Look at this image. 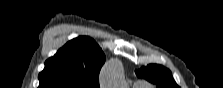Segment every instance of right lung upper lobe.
I'll list each match as a JSON object with an SVG mask.
<instances>
[{
    "label": "right lung upper lobe",
    "instance_id": "1",
    "mask_svg": "<svg viewBox=\"0 0 223 88\" xmlns=\"http://www.w3.org/2000/svg\"><path fill=\"white\" fill-rule=\"evenodd\" d=\"M104 62L105 55L93 39L75 38L45 62L39 88H99Z\"/></svg>",
    "mask_w": 223,
    "mask_h": 88
}]
</instances>
